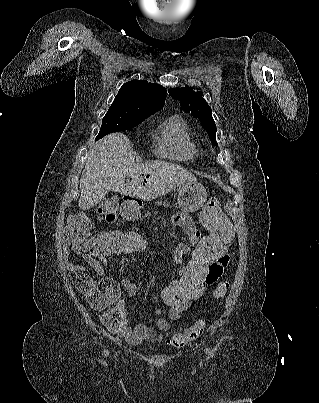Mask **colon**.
<instances>
[{"instance_id":"5ec220e1","label":"colon","mask_w":319,"mask_h":403,"mask_svg":"<svg viewBox=\"0 0 319 403\" xmlns=\"http://www.w3.org/2000/svg\"><path fill=\"white\" fill-rule=\"evenodd\" d=\"M110 201H103L99 217L111 223L120 209L121 197L109 194ZM200 221L208 231L204 238L195 243L193 258H188V265L184 268V275L178 282H161L160 290L164 291L159 313H186L187 309L194 308L193 300H200V296H207V286L204 283L210 265L218 258L221 252L228 251L235 242L232 218H225L220 209V202L216 198L209 200L200 212ZM90 222L83 214H75L68 220L65 228L67 239L63 240L64 248H74L79 254H102V258H123V254H149L151 251L148 234H138L137 226H115L114 229H98L97 234L88 236ZM228 261L224 265L226 266ZM221 274V273H220ZM72 281L75 287L87 297L90 280L83 272H73ZM229 284L220 282L214 289L213 297L222 299ZM116 301V300H115ZM207 314H202L198 321L183 332L171 334L168 343L174 347L198 339L205 330Z\"/></svg>"}]
</instances>
